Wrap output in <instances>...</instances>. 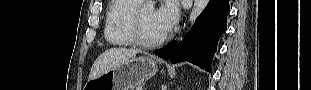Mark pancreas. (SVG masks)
<instances>
[{
    "label": "pancreas",
    "instance_id": "obj_1",
    "mask_svg": "<svg viewBox=\"0 0 311 90\" xmlns=\"http://www.w3.org/2000/svg\"><path fill=\"white\" fill-rule=\"evenodd\" d=\"M136 90H142V88H141L140 86H138V87L136 88Z\"/></svg>",
    "mask_w": 311,
    "mask_h": 90
}]
</instances>
